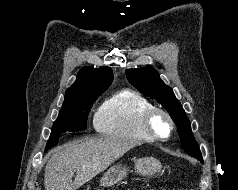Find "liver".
Here are the masks:
<instances>
[{
    "instance_id": "obj_1",
    "label": "liver",
    "mask_w": 238,
    "mask_h": 190,
    "mask_svg": "<svg viewBox=\"0 0 238 190\" xmlns=\"http://www.w3.org/2000/svg\"><path fill=\"white\" fill-rule=\"evenodd\" d=\"M138 145V141L121 137L66 144L57 149L46 164L45 190H76ZM74 173L76 176L72 181Z\"/></svg>"
}]
</instances>
